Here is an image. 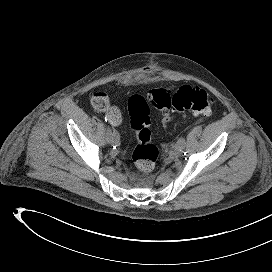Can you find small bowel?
I'll use <instances>...</instances> for the list:
<instances>
[{
    "instance_id": "c3829d8e",
    "label": "small bowel",
    "mask_w": 272,
    "mask_h": 272,
    "mask_svg": "<svg viewBox=\"0 0 272 272\" xmlns=\"http://www.w3.org/2000/svg\"><path fill=\"white\" fill-rule=\"evenodd\" d=\"M98 100H102L103 104L97 103L96 101ZM94 104L97 109L105 111L107 113L108 118L111 120L113 124L117 125L120 123V115L118 111L115 108L109 106L107 97L105 96V94H102V93L97 94L96 97L94 98ZM174 119H175V115L173 113L171 112L165 113L162 118L163 127L168 128Z\"/></svg>"
}]
</instances>
